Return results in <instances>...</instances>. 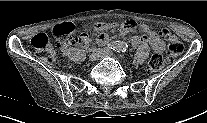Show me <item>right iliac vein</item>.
I'll return each instance as SVG.
<instances>
[{"label": "right iliac vein", "mask_w": 207, "mask_h": 123, "mask_svg": "<svg viewBox=\"0 0 207 123\" xmlns=\"http://www.w3.org/2000/svg\"><path fill=\"white\" fill-rule=\"evenodd\" d=\"M102 53L103 52L99 49L94 50L89 56L90 61H96V60L100 59L102 56Z\"/></svg>", "instance_id": "1"}]
</instances>
